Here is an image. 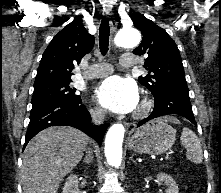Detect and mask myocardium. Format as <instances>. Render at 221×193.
I'll return each instance as SVG.
<instances>
[{
  "instance_id": "obj_1",
  "label": "myocardium",
  "mask_w": 221,
  "mask_h": 193,
  "mask_svg": "<svg viewBox=\"0 0 221 193\" xmlns=\"http://www.w3.org/2000/svg\"><path fill=\"white\" fill-rule=\"evenodd\" d=\"M151 103L147 99H144L141 104L139 105L136 111V117H142L150 110Z\"/></svg>"
}]
</instances>
